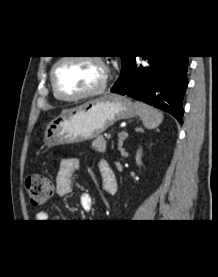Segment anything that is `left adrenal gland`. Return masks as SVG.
<instances>
[{"instance_id": "left-adrenal-gland-1", "label": "left adrenal gland", "mask_w": 218, "mask_h": 277, "mask_svg": "<svg viewBox=\"0 0 218 277\" xmlns=\"http://www.w3.org/2000/svg\"><path fill=\"white\" fill-rule=\"evenodd\" d=\"M124 139H125L124 135H123V134H120V135H119V142H120V144H119V149H120V150L122 149V142H123Z\"/></svg>"}]
</instances>
